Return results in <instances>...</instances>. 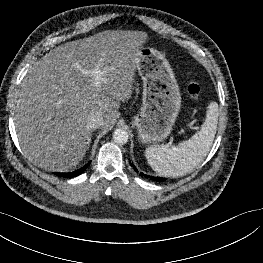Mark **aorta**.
<instances>
[{
	"mask_svg": "<svg viewBox=\"0 0 263 263\" xmlns=\"http://www.w3.org/2000/svg\"><path fill=\"white\" fill-rule=\"evenodd\" d=\"M128 132L124 129L118 128L113 133V140L115 143L123 145L128 142Z\"/></svg>",
	"mask_w": 263,
	"mask_h": 263,
	"instance_id": "1",
	"label": "aorta"
}]
</instances>
